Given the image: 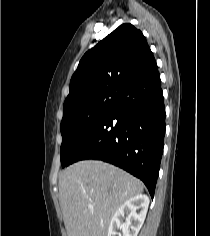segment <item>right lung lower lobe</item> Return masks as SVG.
Here are the masks:
<instances>
[{"label":"right lung lower lobe","instance_id":"right-lung-lower-lobe-1","mask_svg":"<svg viewBox=\"0 0 210 236\" xmlns=\"http://www.w3.org/2000/svg\"><path fill=\"white\" fill-rule=\"evenodd\" d=\"M165 106L158 68L118 92L68 165L84 159L114 164L141 179L154 196L163 153Z\"/></svg>","mask_w":210,"mask_h":236}]
</instances>
